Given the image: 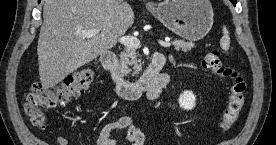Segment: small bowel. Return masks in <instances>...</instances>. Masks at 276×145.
<instances>
[{"instance_id": "small-bowel-1", "label": "small bowel", "mask_w": 276, "mask_h": 145, "mask_svg": "<svg viewBox=\"0 0 276 145\" xmlns=\"http://www.w3.org/2000/svg\"><path fill=\"white\" fill-rule=\"evenodd\" d=\"M160 92L147 94L149 101L154 102L159 97ZM114 130H125V138L129 145H145V136L141 129L133 123L130 117L124 116L116 121L106 123L100 130L96 145H117L116 141L111 138ZM59 145H68V141L59 136L57 138Z\"/></svg>"}]
</instances>
